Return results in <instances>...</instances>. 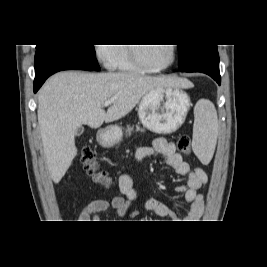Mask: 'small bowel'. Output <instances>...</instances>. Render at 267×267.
<instances>
[{
	"label": "small bowel",
	"mask_w": 267,
	"mask_h": 267,
	"mask_svg": "<svg viewBox=\"0 0 267 267\" xmlns=\"http://www.w3.org/2000/svg\"><path fill=\"white\" fill-rule=\"evenodd\" d=\"M161 155L165 163L172 168L176 174L187 177L186 185H177L175 192L183 194L189 203V209L183 220L185 222H196L204 210V199L199 189L208 181L206 172L200 167H191L182 156L176 151L174 143L157 138L151 146L140 147L136 150L134 158L141 161L146 157ZM118 187L123 196H114L111 200L96 199L91 201L79 214V222H94L99 215L109 208H112L118 217H124L139 198L137 189L134 187L133 178L129 173H123L118 178ZM143 208L159 217H166L171 220H180L175 212L165 203L149 197L143 202Z\"/></svg>",
	"instance_id": "small-bowel-1"
}]
</instances>
